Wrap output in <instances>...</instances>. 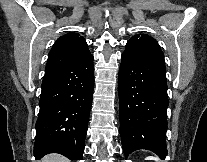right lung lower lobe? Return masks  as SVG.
<instances>
[{"label": "right lung lower lobe", "instance_id": "98d812e1", "mask_svg": "<svg viewBox=\"0 0 207 162\" xmlns=\"http://www.w3.org/2000/svg\"><path fill=\"white\" fill-rule=\"evenodd\" d=\"M94 88L93 56L47 71L42 82L34 156L82 160Z\"/></svg>", "mask_w": 207, "mask_h": 162}]
</instances>
